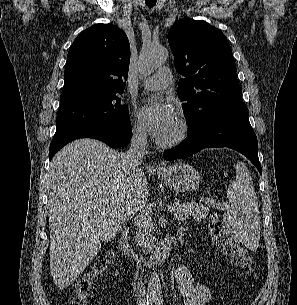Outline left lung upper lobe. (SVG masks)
I'll use <instances>...</instances> for the list:
<instances>
[{"instance_id":"1","label":"left lung upper lobe","mask_w":297,"mask_h":305,"mask_svg":"<svg viewBox=\"0 0 297 305\" xmlns=\"http://www.w3.org/2000/svg\"><path fill=\"white\" fill-rule=\"evenodd\" d=\"M180 79L178 95L190 125L223 105L242 100L237 69L225 35L202 20L176 22L168 32Z\"/></svg>"}]
</instances>
